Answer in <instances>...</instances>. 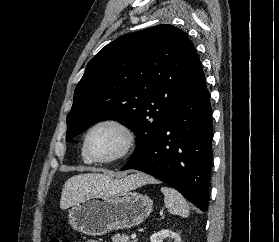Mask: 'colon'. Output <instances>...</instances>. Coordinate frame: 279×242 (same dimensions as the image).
<instances>
[{
	"instance_id": "colon-1",
	"label": "colon",
	"mask_w": 279,
	"mask_h": 242,
	"mask_svg": "<svg viewBox=\"0 0 279 242\" xmlns=\"http://www.w3.org/2000/svg\"><path fill=\"white\" fill-rule=\"evenodd\" d=\"M49 242H72L70 238L65 237V238H52Z\"/></svg>"
}]
</instances>
